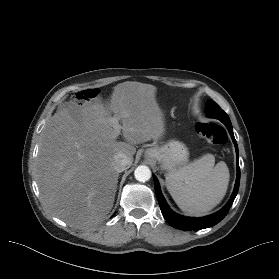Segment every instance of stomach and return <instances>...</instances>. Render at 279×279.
<instances>
[{
    "mask_svg": "<svg viewBox=\"0 0 279 279\" xmlns=\"http://www.w3.org/2000/svg\"><path fill=\"white\" fill-rule=\"evenodd\" d=\"M145 157L161 164L162 169L172 171L187 162L188 149L182 142L170 140L146 149Z\"/></svg>",
    "mask_w": 279,
    "mask_h": 279,
    "instance_id": "stomach-1",
    "label": "stomach"
}]
</instances>
